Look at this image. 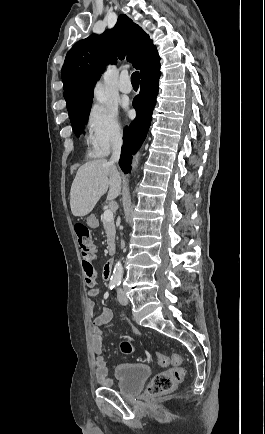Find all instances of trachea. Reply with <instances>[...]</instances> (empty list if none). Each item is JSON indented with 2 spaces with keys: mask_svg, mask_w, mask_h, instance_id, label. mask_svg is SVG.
<instances>
[{
  "mask_svg": "<svg viewBox=\"0 0 265 434\" xmlns=\"http://www.w3.org/2000/svg\"><path fill=\"white\" fill-rule=\"evenodd\" d=\"M131 83L132 84H139L140 80H139V72H133L131 75Z\"/></svg>",
  "mask_w": 265,
  "mask_h": 434,
  "instance_id": "3493384b",
  "label": "trachea"
}]
</instances>
